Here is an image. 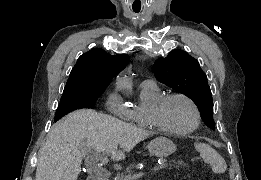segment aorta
Returning <instances> with one entry per match:
<instances>
[{"label":"aorta","mask_w":261,"mask_h":180,"mask_svg":"<svg viewBox=\"0 0 261 180\" xmlns=\"http://www.w3.org/2000/svg\"><path fill=\"white\" fill-rule=\"evenodd\" d=\"M118 86L121 90H124V91H130L132 89L131 82L126 78L119 79Z\"/></svg>","instance_id":"aorta-1"}]
</instances>
